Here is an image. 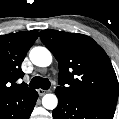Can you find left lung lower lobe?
Wrapping results in <instances>:
<instances>
[{"label":"left lung lower lobe","instance_id":"left-lung-lower-lobe-1","mask_svg":"<svg viewBox=\"0 0 119 119\" xmlns=\"http://www.w3.org/2000/svg\"><path fill=\"white\" fill-rule=\"evenodd\" d=\"M56 95L58 106L52 112L54 119H113L115 108L88 104L65 94Z\"/></svg>","mask_w":119,"mask_h":119}]
</instances>
